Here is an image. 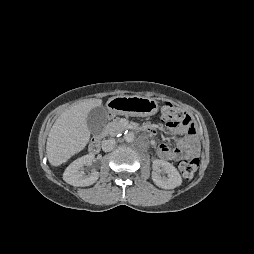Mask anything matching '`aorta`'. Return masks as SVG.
I'll use <instances>...</instances> for the list:
<instances>
[{
	"label": "aorta",
	"mask_w": 254,
	"mask_h": 254,
	"mask_svg": "<svg viewBox=\"0 0 254 254\" xmlns=\"http://www.w3.org/2000/svg\"><path fill=\"white\" fill-rule=\"evenodd\" d=\"M124 140L126 142H128V143L133 142V140H134V133L133 132L126 133L125 136H124Z\"/></svg>",
	"instance_id": "762f6f07"
}]
</instances>
